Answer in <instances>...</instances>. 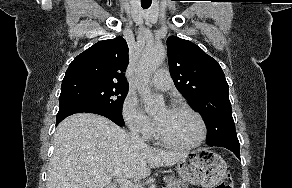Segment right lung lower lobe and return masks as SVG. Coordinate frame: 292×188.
Returning a JSON list of instances; mask_svg holds the SVG:
<instances>
[{
	"instance_id": "right-lung-lower-lobe-1",
	"label": "right lung lower lobe",
	"mask_w": 292,
	"mask_h": 188,
	"mask_svg": "<svg viewBox=\"0 0 292 188\" xmlns=\"http://www.w3.org/2000/svg\"><path fill=\"white\" fill-rule=\"evenodd\" d=\"M82 112L95 113L98 115H102L104 117H107L108 119H110L111 121H113L119 126L124 125V120L122 117H116L114 115H111L107 112H104L100 109L94 108L82 102H64V103L59 104V111L57 114L56 125L60 123L64 118L72 114L82 113Z\"/></svg>"
}]
</instances>
